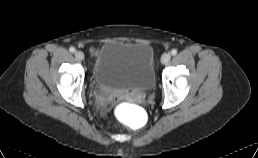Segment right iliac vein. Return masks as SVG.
Masks as SVG:
<instances>
[{"label": "right iliac vein", "instance_id": "63e3f726", "mask_svg": "<svg viewBox=\"0 0 258 158\" xmlns=\"http://www.w3.org/2000/svg\"><path fill=\"white\" fill-rule=\"evenodd\" d=\"M74 55L79 61H82L84 59V53L82 51H76Z\"/></svg>", "mask_w": 258, "mask_h": 158}]
</instances>
